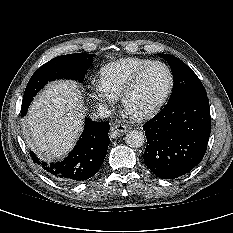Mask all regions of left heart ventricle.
Instances as JSON below:
<instances>
[{
  "label": "left heart ventricle",
  "mask_w": 233,
  "mask_h": 233,
  "mask_svg": "<svg viewBox=\"0 0 233 233\" xmlns=\"http://www.w3.org/2000/svg\"><path fill=\"white\" fill-rule=\"evenodd\" d=\"M169 83V75L162 66L149 68L128 98L132 111H141L153 105L164 93Z\"/></svg>",
  "instance_id": "b2bd125f"
}]
</instances>
